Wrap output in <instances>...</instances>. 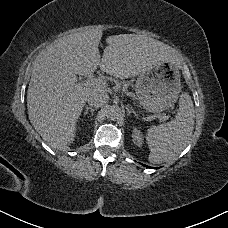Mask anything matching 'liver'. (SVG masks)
<instances>
[{
    "label": "liver",
    "instance_id": "obj_1",
    "mask_svg": "<svg viewBox=\"0 0 228 228\" xmlns=\"http://www.w3.org/2000/svg\"><path fill=\"white\" fill-rule=\"evenodd\" d=\"M102 30L90 29L55 41L33 62L27 90L30 123L53 149L64 150L75 138L76 126L90 92L101 87L78 82L97 67L126 79L162 63L178 62L175 49L145 35L119 34L106 38L99 53Z\"/></svg>",
    "mask_w": 228,
    "mask_h": 228
}]
</instances>
